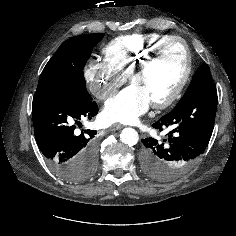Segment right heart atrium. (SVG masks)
<instances>
[{
    "instance_id": "1",
    "label": "right heart atrium",
    "mask_w": 236,
    "mask_h": 236,
    "mask_svg": "<svg viewBox=\"0 0 236 236\" xmlns=\"http://www.w3.org/2000/svg\"><path fill=\"white\" fill-rule=\"evenodd\" d=\"M84 79L96 98L106 100L124 84L127 76L106 59H91L85 65Z\"/></svg>"
}]
</instances>
